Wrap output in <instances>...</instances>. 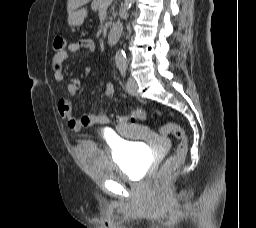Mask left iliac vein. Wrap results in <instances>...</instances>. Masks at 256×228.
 <instances>
[{
  "instance_id": "4c4485c4",
  "label": "left iliac vein",
  "mask_w": 256,
  "mask_h": 228,
  "mask_svg": "<svg viewBox=\"0 0 256 228\" xmlns=\"http://www.w3.org/2000/svg\"><path fill=\"white\" fill-rule=\"evenodd\" d=\"M126 90H127L128 94H130L131 96L138 95V91H137L138 87H137L135 80L132 77L128 78V81L126 84Z\"/></svg>"
}]
</instances>
